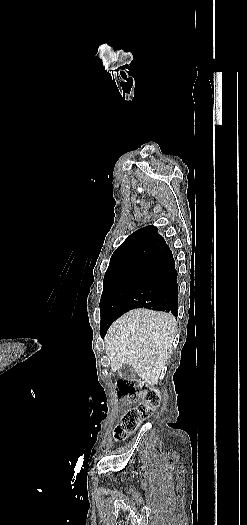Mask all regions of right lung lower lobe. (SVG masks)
Listing matches in <instances>:
<instances>
[{"instance_id": "98d812e1", "label": "right lung lower lobe", "mask_w": 247, "mask_h": 525, "mask_svg": "<svg viewBox=\"0 0 247 525\" xmlns=\"http://www.w3.org/2000/svg\"><path fill=\"white\" fill-rule=\"evenodd\" d=\"M136 308H148L171 312L177 316L178 285L177 271L172 251L167 247L155 256L152 264L138 279L121 303L118 314ZM109 327L100 326V335L105 336Z\"/></svg>"}]
</instances>
